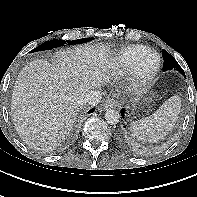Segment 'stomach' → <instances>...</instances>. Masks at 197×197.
<instances>
[{
    "label": "stomach",
    "mask_w": 197,
    "mask_h": 197,
    "mask_svg": "<svg viewBox=\"0 0 197 197\" xmlns=\"http://www.w3.org/2000/svg\"><path fill=\"white\" fill-rule=\"evenodd\" d=\"M146 102H147L146 100L143 101V103H146ZM137 108H138V106H136V104L134 103L132 108H131L132 112H135L137 110Z\"/></svg>",
    "instance_id": "0dacf381"
}]
</instances>
